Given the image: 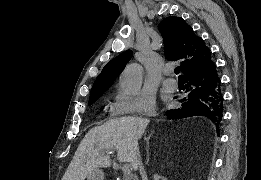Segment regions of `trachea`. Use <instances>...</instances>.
<instances>
[{"label": "trachea", "instance_id": "obj_1", "mask_svg": "<svg viewBox=\"0 0 261 180\" xmlns=\"http://www.w3.org/2000/svg\"><path fill=\"white\" fill-rule=\"evenodd\" d=\"M175 73L178 75V73H180V67H176L175 68ZM181 75L179 76V79H181Z\"/></svg>", "mask_w": 261, "mask_h": 180}]
</instances>
